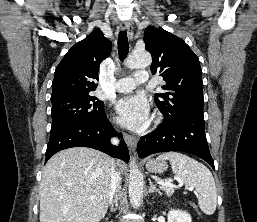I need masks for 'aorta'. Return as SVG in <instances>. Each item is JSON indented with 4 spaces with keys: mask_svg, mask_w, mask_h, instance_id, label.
Masks as SVG:
<instances>
[{
    "mask_svg": "<svg viewBox=\"0 0 257 222\" xmlns=\"http://www.w3.org/2000/svg\"><path fill=\"white\" fill-rule=\"evenodd\" d=\"M152 62V58L147 51H134L127 60L129 68H146ZM128 190L131 204L139 207L143 197V174L138 169L135 160H131Z\"/></svg>",
    "mask_w": 257,
    "mask_h": 222,
    "instance_id": "aorta-1",
    "label": "aorta"
}]
</instances>
